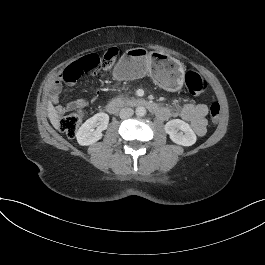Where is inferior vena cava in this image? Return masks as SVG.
Here are the masks:
<instances>
[{"instance_id": "1", "label": "inferior vena cava", "mask_w": 265, "mask_h": 265, "mask_svg": "<svg viewBox=\"0 0 265 265\" xmlns=\"http://www.w3.org/2000/svg\"><path fill=\"white\" fill-rule=\"evenodd\" d=\"M134 111L132 108L124 107L120 110L119 116L121 119L129 118L133 115Z\"/></svg>"}]
</instances>
